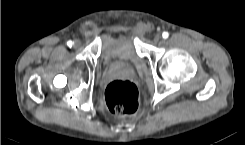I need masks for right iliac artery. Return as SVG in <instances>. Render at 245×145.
<instances>
[{
	"label": "right iliac artery",
	"mask_w": 245,
	"mask_h": 145,
	"mask_svg": "<svg viewBox=\"0 0 245 145\" xmlns=\"http://www.w3.org/2000/svg\"><path fill=\"white\" fill-rule=\"evenodd\" d=\"M73 44H74V43H73L71 40L67 42V45H68L69 47H72Z\"/></svg>",
	"instance_id": "1"
}]
</instances>
